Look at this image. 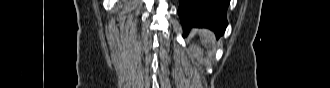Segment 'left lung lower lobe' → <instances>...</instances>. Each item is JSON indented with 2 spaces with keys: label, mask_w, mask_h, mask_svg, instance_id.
Instances as JSON below:
<instances>
[{
  "label": "left lung lower lobe",
  "mask_w": 330,
  "mask_h": 88,
  "mask_svg": "<svg viewBox=\"0 0 330 88\" xmlns=\"http://www.w3.org/2000/svg\"><path fill=\"white\" fill-rule=\"evenodd\" d=\"M179 16L184 34L192 27L209 28L219 38L228 25L226 13L230 0H179Z\"/></svg>",
  "instance_id": "left-lung-lower-lobe-1"
}]
</instances>
